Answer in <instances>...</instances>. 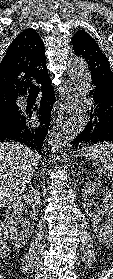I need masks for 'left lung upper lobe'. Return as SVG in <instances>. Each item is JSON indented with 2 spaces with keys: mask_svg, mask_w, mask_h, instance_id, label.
Instances as JSON below:
<instances>
[{
  "mask_svg": "<svg viewBox=\"0 0 113 279\" xmlns=\"http://www.w3.org/2000/svg\"><path fill=\"white\" fill-rule=\"evenodd\" d=\"M76 55L85 59L91 71L92 80H99L113 86V73L109 61L96 41L84 30H79L72 38Z\"/></svg>",
  "mask_w": 113,
  "mask_h": 279,
  "instance_id": "1",
  "label": "left lung upper lobe"
}]
</instances>
